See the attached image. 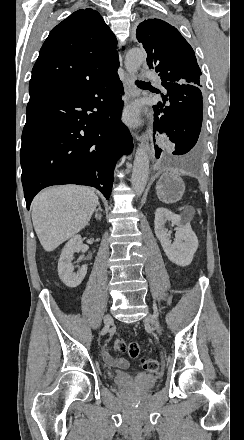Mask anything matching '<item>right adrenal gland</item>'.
Returning <instances> with one entry per match:
<instances>
[{
	"instance_id": "1",
	"label": "right adrenal gland",
	"mask_w": 244,
	"mask_h": 440,
	"mask_svg": "<svg viewBox=\"0 0 244 440\" xmlns=\"http://www.w3.org/2000/svg\"><path fill=\"white\" fill-rule=\"evenodd\" d=\"M95 212H103V210H101L100 204H98V208H97V210H95Z\"/></svg>"
}]
</instances>
